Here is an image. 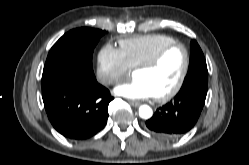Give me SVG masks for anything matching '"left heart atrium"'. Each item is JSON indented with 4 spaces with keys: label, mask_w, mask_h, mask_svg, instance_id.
Wrapping results in <instances>:
<instances>
[{
    "label": "left heart atrium",
    "mask_w": 249,
    "mask_h": 165,
    "mask_svg": "<svg viewBox=\"0 0 249 165\" xmlns=\"http://www.w3.org/2000/svg\"><path fill=\"white\" fill-rule=\"evenodd\" d=\"M114 92L129 99H145L154 96L149 85L143 79L137 77L119 84Z\"/></svg>",
    "instance_id": "39dd6f15"
}]
</instances>
